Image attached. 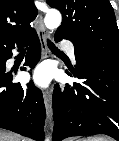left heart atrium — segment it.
Returning a JSON list of instances; mask_svg holds the SVG:
<instances>
[{"instance_id": "1", "label": "left heart atrium", "mask_w": 119, "mask_h": 141, "mask_svg": "<svg viewBox=\"0 0 119 141\" xmlns=\"http://www.w3.org/2000/svg\"><path fill=\"white\" fill-rule=\"evenodd\" d=\"M31 80L40 87H47L52 78V71L48 65L39 66L30 76Z\"/></svg>"}]
</instances>
